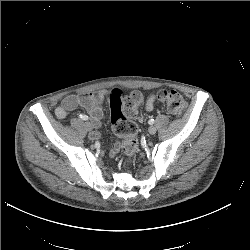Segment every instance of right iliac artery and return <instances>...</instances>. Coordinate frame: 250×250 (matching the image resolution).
Listing matches in <instances>:
<instances>
[{
    "instance_id": "right-iliac-artery-1",
    "label": "right iliac artery",
    "mask_w": 250,
    "mask_h": 250,
    "mask_svg": "<svg viewBox=\"0 0 250 250\" xmlns=\"http://www.w3.org/2000/svg\"><path fill=\"white\" fill-rule=\"evenodd\" d=\"M79 118L82 119V120H88L89 119L88 116L84 115V114H80Z\"/></svg>"
}]
</instances>
